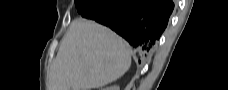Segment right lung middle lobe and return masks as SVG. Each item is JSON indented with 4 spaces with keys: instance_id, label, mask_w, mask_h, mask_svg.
I'll list each match as a JSON object with an SVG mask.
<instances>
[{
    "instance_id": "1",
    "label": "right lung middle lobe",
    "mask_w": 228,
    "mask_h": 90,
    "mask_svg": "<svg viewBox=\"0 0 228 90\" xmlns=\"http://www.w3.org/2000/svg\"><path fill=\"white\" fill-rule=\"evenodd\" d=\"M104 2V0H75V6L78 13L85 16L89 13H95L103 6Z\"/></svg>"
}]
</instances>
